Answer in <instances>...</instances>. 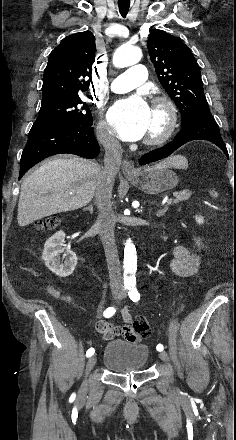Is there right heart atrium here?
<instances>
[{
	"label": "right heart atrium",
	"instance_id": "right-heart-atrium-1",
	"mask_svg": "<svg viewBox=\"0 0 236 440\" xmlns=\"http://www.w3.org/2000/svg\"><path fill=\"white\" fill-rule=\"evenodd\" d=\"M96 135L99 142L108 149H115L117 147V141L110 131L105 120H100L97 129Z\"/></svg>",
	"mask_w": 236,
	"mask_h": 440
}]
</instances>
